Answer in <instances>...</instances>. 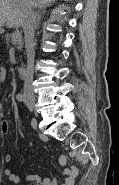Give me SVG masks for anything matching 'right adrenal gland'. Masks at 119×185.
<instances>
[{"label":"right adrenal gland","mask_w":119,"mask_h":185,"mask_svg":"<svg viewBox=\"0 0 119 185\" xmlns=\"http://www.w3.org/2000/svg\"><path fill=\"white\" fill-rule=\"evenodd\" d=\"M45 14V11H37L35 14V28H38V24L41 20V16Z\"/></svg>","instance_id":"obj_1"}]
</instances>
